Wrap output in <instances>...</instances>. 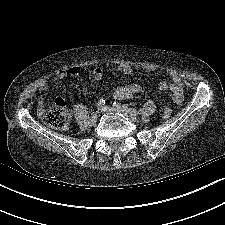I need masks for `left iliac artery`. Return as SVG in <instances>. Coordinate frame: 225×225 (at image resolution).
I'll return each instance as SVG.
<instances>
[{
  "instance_id": "1",
  "label": "left iliac artery",
  "mask_w": 225,
  "mask_h": 225,
  "mask_svg": "<svg viewBox=\"0 0 225 225\" xmlns=\"http://www.w3.org/2000/svg\"><path fill=\"white\" fill-rule=\"evenodd\" d=\"M113 106H114V107H117V108H119V107L125 108V109H127L128 111H130L131 113H133V114H135V115L140 114V110L135 109V108L128 107V106L123 105V104H121V103L114 102V103H113Z\"/></svg>"
}]
</instances>
